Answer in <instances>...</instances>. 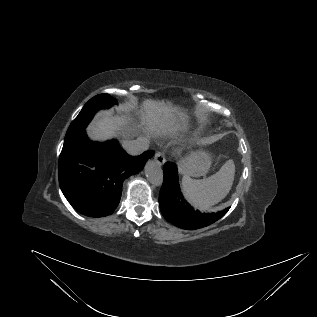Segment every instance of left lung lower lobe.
Instances as JSON below:
<instances>
[{"label":"left lung lower lobe","mask_w":317,"mask_h":317,"mask_svg":"<svg viewBox=\"0 0 317 317\" xmlns=\"http://www.w3.org/2000/svg\"><path fill=\"white\" fill-rule=\"evenodd\" d=\"M160 209L166 220L188 230L208 226L219 220L229 208L212 214L195 210L182 196L178 183L177 167L172 162L164 165V181L159 195Z\"/></svg>","instance_id":"left-lung-lower-lobe-1"}]
</instances>
